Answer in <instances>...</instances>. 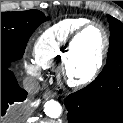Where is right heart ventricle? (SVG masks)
Returning <instances> with one entry per match:
<instances>
[{
  "mask_svg": "<svg viewBox=\"0 0 123 123\" xmlns=\"http://www.w3.org/2000/svg\"><path fill=\"white\" fill-rule=\"evenodd\" d=\"M87 22L88 19L82 17L70 18L46 29L34 44L35 62L42 68L62 64L66 58L72 36Z\"/></svg>",
  "mask_w": 123,
  "mask_h": 123,
  "instance_id": "e07e8e85",
  "label": "right heart ventricle"
}]
</instances>
